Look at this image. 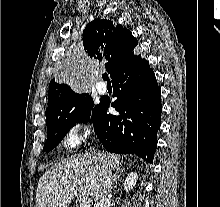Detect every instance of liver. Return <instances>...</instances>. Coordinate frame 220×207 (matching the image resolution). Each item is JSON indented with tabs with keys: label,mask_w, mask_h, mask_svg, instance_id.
<instances>
[{
	"label": "liver",
	"mask_w": 220,
	"mask_h": 207,
	"mask_svg": "<svg viewBox=\"0 0 220 207\" xmlns=\"http://www.w3.org/2000/svg\"><path fill=\"white\" fill-rule=\"evenodd\" d=\"M104 166L111 172L120 170L123 161L118 155L100 153ZM101 167L95 153L75 154L55 164L39 179L37 207H69L75 196H93Z\"/></svg>",
	"instance_id": "obj_1"
}]
</instances>
